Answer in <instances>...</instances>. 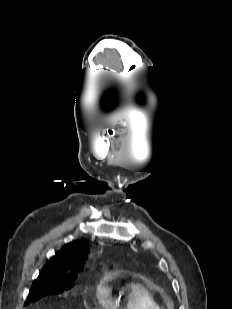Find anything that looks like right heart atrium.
Returning a JSON list of instances; mask_svg holds the SVG:
<instances>
[{"mask_svg": "<svg viewBox=\"0 0 232 309\" xmlns=\"http://www.w3.org/2000/svg\"><path fill=\"white\" fill-rule=\"evenodd\" d=\"M97 295H98L99 297H103V296L105 295V289L99 287V288L97 289Z\"/></svg>", "mask_w": 232, "mask_h": 309, "instance_id": "1", "label": "right heart atrium"}]
</instances>
